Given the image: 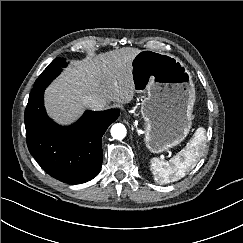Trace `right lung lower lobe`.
Masks as SVG:
<instances>
[{"label": "right lung lower lobe", "mask_w": 243, "mask_h": 243, "mask_svg": "<svg viewBox=\"0 0 243 243\" xmlns=\"http://www.w3.org/2000/svg\"><path fill=\"white\" fill-rule=\"evenodd\" d=\"M62 71L46 68L35 81L24 114L29 152L53 178L81 184L97 176L101 169L102 136L119 116V110L86 111L72 126L61 127L46 114L45 88Z\"/></svg>", "instance_id": "right-lung-lower-lobe-1"}]
</instances>
